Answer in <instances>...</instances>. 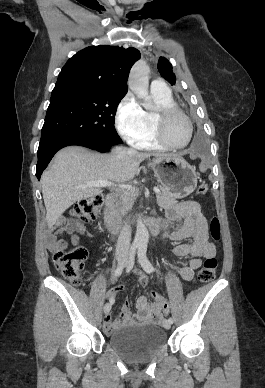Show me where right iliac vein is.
Segmentation results:
<instances>
[{
	"instance_id": "obj_1",
	"label": "right iliac vein",
	"mask_w": 265,
	"mask_h": 388,
	"mask_svg": "<svg viewBox=\"0 0 265 388\" xmlns=\"http://www.w3.org/2000/svg\"><path fill=\"white\" fill-rule=\"evenodd\" d=\"M117 261H118L119 265H125L126 257L124 255H120V256L117 257ZM110 309H111V304L110 303H106L104 305V313L107 315L110 312Z\"/></svg>"
}]
</instances>
